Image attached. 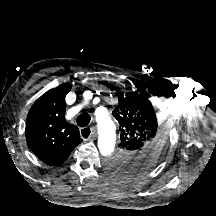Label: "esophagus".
Returning a JSON list of instances; mask_svg holds the SVG:
<instances>
[{
  "label": "esophagus",
  "mask_w": 216,
  "mask_h": 216,
  "mask_svg": "<svg viewBox=\"0 0 216 216\" xmlns=\"http://www.w3.org/2000/svg\"><path fill=\"white\" fill-rule=\"evenodd\" d=\"M88 132H89V136L86 138V140H89V139L95 137L96 131H95L94 128H92V127H84V128H81V129H80V135H81L83 138H85V137H84V134H87Z\"/></svg>",
  "instance_id": "obj_1"
}]
</instances>
